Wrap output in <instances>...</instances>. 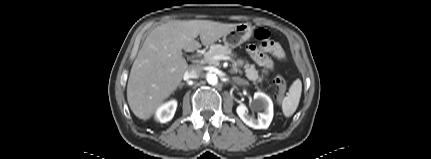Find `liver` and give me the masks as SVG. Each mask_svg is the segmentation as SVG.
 <instances>
[{
	"label": "liver",
	"instance_id": "obj_1",
	"mask_svg": "<svg viewBox=\"0 0 431 159\" xmlns=\"http://www.w3.org/2000/svg\"><path fill=\"white\" fill-rule=\"evenodd\" d=\"M237 24L210 20H172L154 28L146 37L132 65L127 101L136 117L148 120L178 88L189 66L182 49L193 52L208 46Z\"/></svg>",
	"mask_w": 431,
	"mask_h": 159
}]
</instances>
